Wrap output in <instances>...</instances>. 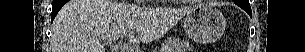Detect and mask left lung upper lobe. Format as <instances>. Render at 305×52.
<instances>
[{
  "label": "left lung upper lobe",
  "mask_w": 305,
  "mask_h": 52,
  "mask_svg": "<svg viewBox=\"0 0 305 52\" xmlns=\"http://www.w3.org/2000/svg\"><path fill=\"white\" fill-rule=\"evenodd\" d=\"M235 4L244 9L250 16L252 15L251 7L248 0H235Z\"/></svg>",
  "instance_id": "obj_1"
}]
</instances>
